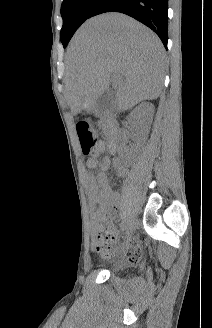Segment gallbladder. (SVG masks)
I'll return each mask as SVG.
<instances>
[{
  "mask_svg": "<svg viewBox=\"0 0 212 328\" xmlns=\"http://www.w3.org/2000/svg\"><path fill=\"white\" fill-rule=\"evenodd\" d=\"M115 93L112 89H108L103 92L95 100L94 106L92 108V113L95 116H99L102 112L111 109L114 105Z\"/></svg>",
  "mask_w": 212,
  "mask_h": 328,
  "instance_id": "1",
  "label": "gallbladder"
}]
</instances>
